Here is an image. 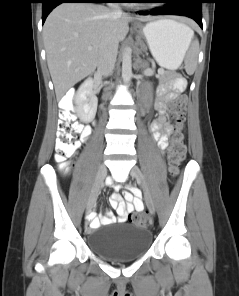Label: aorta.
Segmentation results:
<instances>
[{
    "label": "aorta",
    "instance_id": "aorta-1",
    "mask_svg": "<svg viewBox=\"0 0 239 296\" xmlns=\"http://www.w3.org/2000/svg\"><path fill=\"white\" fill-rule=\"evenodd\" d=\"M132 77L131 49L125 48L122 56V78L125 84L129 83Z\"/></svg>",
    "mask_w": 239,
    "mask_h": 296
}]
</instances>
